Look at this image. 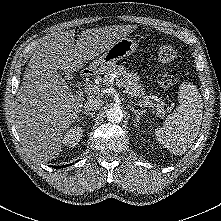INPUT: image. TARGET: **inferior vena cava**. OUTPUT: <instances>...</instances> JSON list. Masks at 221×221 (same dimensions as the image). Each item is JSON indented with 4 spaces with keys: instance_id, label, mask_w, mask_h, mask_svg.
<instances>
[{
    "instance_id": "1",
    "label": "inferior vena cava",
    "mask_w": 221,
    "mask_h": 221,
    "mask_svg": "<svg viewBox=\"0 0 221 221\" xmlns=\"http://www.w3.org/2000/svg\"><path fill=\"white\" fill-rule=\"evenodd\" d=\"M104 104V101L101 100L100 98H91L86 101L84 104V109L86 111H95L99 108H101Z\"/></svg>"
}]
</instances>
